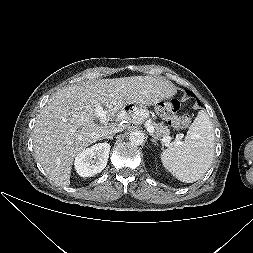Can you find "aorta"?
Returning a JSON list of instances; mask_svg holds the SVG:
<instances>
[{
  "label": "aorta",
  "instance_id": "1",
  "mask_svg": "<svg viewBox=\"0 0 253 253\" xmlns=\"http://www.w3.org/2000/svg\"><path fill=\"white\" fill-rule=\"evenodd\" d=\"M129 140L134 145H141L145 140L144 133L141 131H133L130 133Z\"/></svg>",
  "mask_w": 253,
  "mask_h": 253
}]
</instances>
